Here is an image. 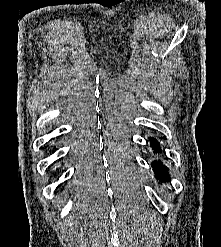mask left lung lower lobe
<instances>
[{
    "instance_id": "obj_1",
    "label": "left lung lower lobe",
    "mask_w": 221,
    "mask_h": 247,
    "mask_svg": "<svg viewBox=\"0 0 221 247\" xmlns=\"http://www.w3.org/2000/svg\"><path fill=\"white\" fill-rule=\"evenodd\" d=\"M151 141H152V144L154 146V149L156 151L157 150L160 151L159 146H158V142L155 139H151ZM153 168H154V171H155L158 178L165 180L168 177L167 168L165 166H163L160 162H154Z\"/></svg>"
}]
</instances>
